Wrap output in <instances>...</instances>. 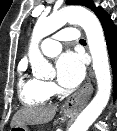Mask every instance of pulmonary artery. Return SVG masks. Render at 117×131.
<instances>
[{"label": "pulmonary artery", "instance_id": "obj_1", "mask_svg": "<svg viewBox=\"0 0 117 131\" xmlns=\"http://www.w3.org/2000/svg\"><path fill=\"white\" fill-rule=\"evenodd\" d=\"M78 39V34L74 29L66 28L52 37L46 38L42 41L40 48L44 55L48 57L56 56L62 49V41H74Z\"/></svg>", "mask_w": 117, "mask_h": 131}]
</instances>
